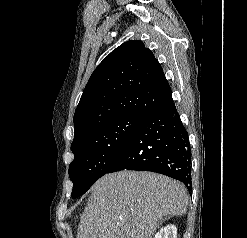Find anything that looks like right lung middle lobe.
Listing matches in <instances>:
<instances>
[{
	"label": "right lung middle lobe",
	"instance_id": "obj_1",
	"mask_svg": "<svg viewBox=\"0 0 247 238\" xmlns=\"http://www.w3.org/2000/svg\"><path fill=\"white\" fill-rule=\"evenodd\" d=\"M144 117L123 116L98 126L73 140L74 160L69 166L71 196L84 194L107 170Z\"/></svg>",
	"mask_w": 247,
	"mask_h": 238
}]
</instances>
